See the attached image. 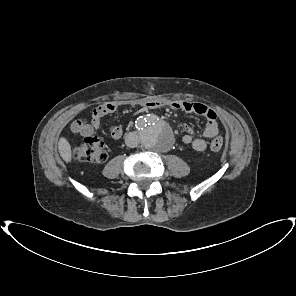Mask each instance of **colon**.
<instances>
[{"instance_id": "1", "label": "colon", "mask_w": 296, "mask_h": 296, "mask_svg": "<svg viewBox=\"0 0 296 296\" xmlns=\"http://www.w3.org/2000/svg\"><path fill=\"white\" fill-rule=\"evenodd\" d=\"M224 146L222 138H215L211 141L210 148L213 151H220ZM73 158L81 162L93 164L104 163L108 158L106 146L102 140L94 136L83 138L73 148Z\"/></svg>"}]
</instances>
